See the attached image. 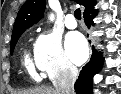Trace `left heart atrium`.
<instances>
[{"instance_id": "1", "label": "left heart atrium", "mask_w": 121, "mask_h": 94, "mask_svg": "<svg viewBox=\"0 0 121 94\" xmlns=\"http://www.w3.org/2000/svg\"><path fill=\"white\" fill-rule=\"evenodd\" d=\"M66 50L70 59L76 64L83 63L88 56L86 41L78 32H72L67 35Z\"/></svg>"}]
</instances>
